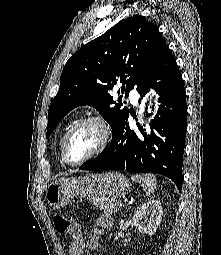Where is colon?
Segmentation results:
<instances>
[{"mask_svg": "<svg viewBox=\"0 0 221 255\" xmlns=\"http://www.w3.org/2000/svg\"><path fill=\"white\" fill-rule=\"evenodd\" d=\"M53 224L58 232L69 233L71 235L77 234L80 231V227L60 214H56L53 217Z\"/></svg>", "mask_w": 221, "mask_h": 255, "instance_id": "obj_1", "label": "colon"}]
</instances>
